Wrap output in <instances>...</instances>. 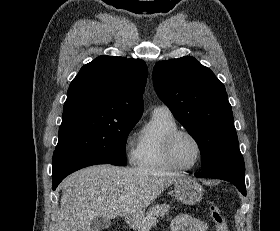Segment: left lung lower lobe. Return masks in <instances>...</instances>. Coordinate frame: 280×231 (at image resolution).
Returning <instances> with one entry per match:
<instances>
[{
    "instance_id": "left-lung-lower-lobe-1",
    "label": "left lung lower lobe",
    "mask_w": 280,
    "mask_h": 231,
    "mask_svg": "<svg viewBox=\"0 0 280 231\" xmlns=\"http://www.w3.org/2000/svg\"><path fill=\"white\" fill-rule=\"evenodd\" d=\"M200 178L222 179L234 184L245 196V165L241 152L222 157L215 164L209 166L202 173L195 174Z\"/></svg>"
}]
</instances>
